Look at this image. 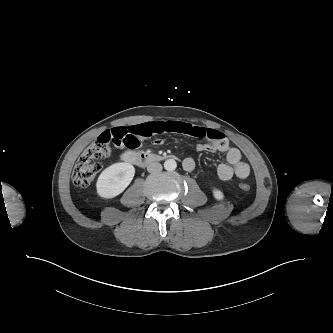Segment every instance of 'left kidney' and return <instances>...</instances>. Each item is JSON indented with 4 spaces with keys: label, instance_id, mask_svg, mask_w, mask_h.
Masks as SVG:
<instances>
[{
    "label": "left kidney",
    "instance_id": "left-kidney-1",
    "mask_svg": "<svg viewBox=\"0 0 333 333\" xmlns=\"http://www.w3.org/2000/svg\"><path fill=\"white\" fill-rule=\"evenodd\" d=\"M213 196L216 200H223L224 199V194L221 190L217 189V188H213L212 190Z\"/></svg>",
    "mask_w": 333,
    "mask_h": 333
}]
</instances>
